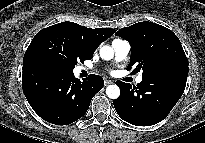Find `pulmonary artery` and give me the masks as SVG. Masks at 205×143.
Wrapping results in <instances>:
<instances>
[{"mask_svg":"<svg viewBox=\"0 0 205 143\" xmlns=\"http://www.w3.org/2000/svg\"><path fill=\"white\" fill-rule=\"evenodd\" d=\"M112 48L114 50V60L116 62L123 61L130 52V44L126 40L116 39L112 42ZM142 76L136 77V83H141Z\"/></svg>","mask_w":205,"mask_h":143,"instance_id":"1","label":"pulmonary artery"}]
</instances>
